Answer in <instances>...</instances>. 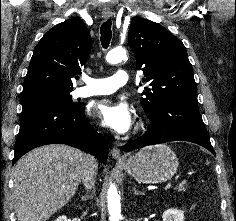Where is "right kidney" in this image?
Masks as SVG:
<instances>
[{"instance_id":"ca27d5eb","label":"right kidney","mask_w":236,"mask_h":221,"mask_svg":"<svg viewBox=\"0 0 236 221\" xmlns=\"http://www.w3.org/2000/svg\"><path fill=\"white\" fill-rule=\"evenodd\" d=\"M55 221H68L66 216H59Z\"/></svg>"}]
</instances>
